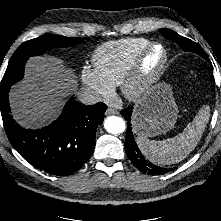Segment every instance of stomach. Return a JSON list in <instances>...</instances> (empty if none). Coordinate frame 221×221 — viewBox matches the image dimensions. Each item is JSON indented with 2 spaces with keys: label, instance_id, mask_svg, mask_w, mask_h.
I'll return each instance as SVG.
<instances>
[{
  "label": "stomach",
  "instance_id": "1",
  "mask_svg": "<svg viewBox=\"0 0 221 221\" xmlns=\"http://www.w3.org/2000/svg\"><path fill=\"white\" fill-rule=\"evenodd\" d=\"M178 117V108L171 86L160 82L149 87L136 102L132 116L134 132L154 137L171 130Z\"/></svg>",
  "mask_w": 221,
  "mask_h": 221
}]
</instances>
